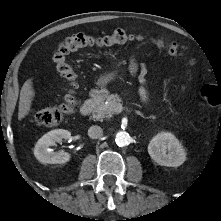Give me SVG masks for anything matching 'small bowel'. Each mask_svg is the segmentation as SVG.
<instances>
[{"label":"small bowel","instance_id":"small-bowel-1","mask_svg":"<svg viewBox=\"0 0 221 221\" xmlns=\"http://www.w3.org/2000/svg\"><path fill=\"white\" fill-rule=\"evenodd\" d=\"M128 70L131 76H138L141 82V86L139 88V94L141 98L146 101L148 98L147 89L145 86V76L147 73L146 66L143 63H139L135 56H131L129 59Z\"/></svg>","mask_w":221,"mask_h":221}]
</instances>
